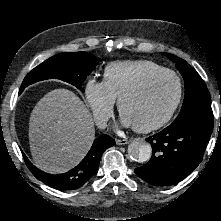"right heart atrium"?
<instances>
[{
	"label": "right heart atrium",
	"mask_w": 221,
	"mask_h": 221,
	"mask_svg": "<svg viewBox=\"0 0 221 221\" xmlns=\"http://www.w3.org/2000/svg\"><path fill=\"white\" fill-rule=\"evenodd\" d=\"M84 97L96 122L105 125L114 112L116 99L104 81L87 79L84 85Z\"/></svg>",
	"instance_id": "d8ad5b80"
}]
</instances>
